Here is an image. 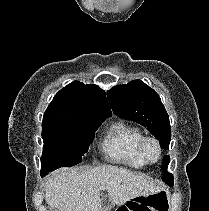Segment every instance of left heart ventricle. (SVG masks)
<instances>
[{"mask_svg": "<svg viewBox=\"0 0 209 211\" xmlns=\"http://www.w3.org/2000/svg\"><path fill=\"white\" fill-rule=\"evenodd\" d=\"M147 153L151 159H155L157 156L156 148L153 145L148 146Z\"/></svg>", "mask_w": 209, "mask_h": 211, "instance_id": "1", "label": "left heart ventricle"}]
</instances>
